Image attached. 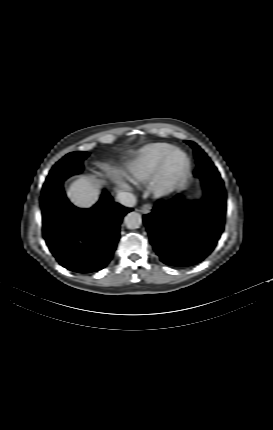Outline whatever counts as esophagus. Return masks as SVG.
<instances>
[{"label": "esophagus", "mask_w": 273, "mask_h": 430, "mask_svg": "<svg viewBox=\"0 0 273 430\" xmlns=\"http://www.w3.org/2000/svg\"><path fill=\"white\" fill-rule=\"evenodd\" d=\"M152 210V206L149 203H145L141 206L140 212L143 214H149Z\"/></svg>", "instance_id": "34e87169"}]
</instances>
